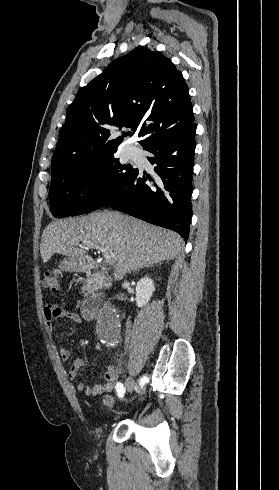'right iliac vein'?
I'll list each match as a JSON object with an SVG mask.
<instances>
[{
	"label": "right iliac vein",
	"mask_w": 279,
	"mask_h": 490,
	"mask_svg": "<svg viewBox=\"0 0 279 490\" xmlns=\"http://www.w3.org/2000/svg\"><path fill=\"white\" fill-rule=\"evenodd\" d=\"M125 386L129 392H132L134 389V382L132 378H128L125 382Z\"/></svg>",
	"instance_id": "1"
}]
</instances>
